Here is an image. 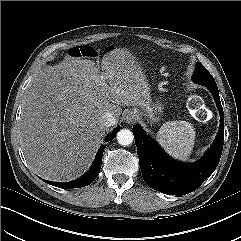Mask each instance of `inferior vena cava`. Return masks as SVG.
I'll list each match as a JSON object with an SVG mask.
<instances>
[{"mask_svg":"<svg viewBox=\"0 0 241 241\" xmlns=\"http://www.w3.org/2000/svg\"><path fill=\"white\" fill-rule=\"evenodd\" d=\"M100 123L104 127H110V126H113L116 123V118L112 113L106 112L102 116V118L100 120Z\"/></svg>","mask_w":241,"mask_h":241,"instance_id":"inferior-vena-cava-1","label":"inferior vena cava"}]
</instances>
